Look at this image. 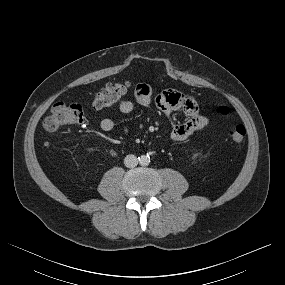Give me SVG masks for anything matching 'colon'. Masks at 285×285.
<instances>
[{
  "instance_id": "1",
  "label": "colon",
  "mask_w": 285,
  "mask_h": 285,
  "mask_svg": "<svg viewBox=\"0 0 285 285\" xmlns=\"http://www.w3.org/2000/svg\"><path fill=\"white\" fill-rule=\"evenodd\" d=\"M127 90L128 84L126 82L110 83L95 95L91 106L96 110L111 107L127 93ZM219 112L227 114L228 109L222 107ZM83 118V110L80 105L59 102L53 105L50 113L44 118L43 126L47 131L54 132L68 125L81 124ZM245 135L246 129L241 124L234 126L228 134L229 139L234 144H241Z\"/></svg>"
}]
</instances>
